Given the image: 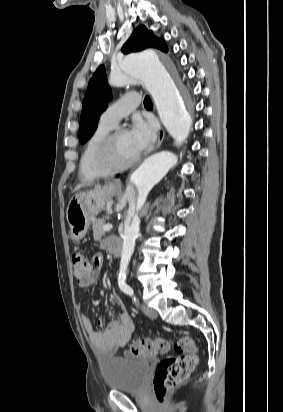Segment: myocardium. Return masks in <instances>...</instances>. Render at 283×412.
<instances>
[{"instance_id":"f54148a6","label":"myocardium","mask_w":283,"mask_h":412,"mask_svg":"<svg viewBox=\"0 0 283 412\" xmlns=\"http://www.w3.org/2000/svg\"><path fill=\"white\" fill-rule=\"evenodd\" d=\"M125 131L124 129L118 128L111 131L107 137L104 139L102 145L97 154V165L101 170L109 174H113L119 171H123L134 164H136L140 158L138 154L132 160L126 163H119L115 158V147H116V139L119 133Z\"/></svg>"}]
</instances>
